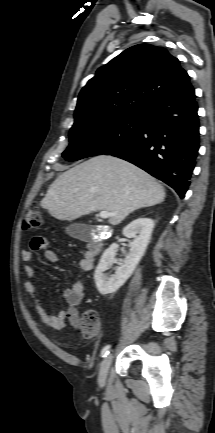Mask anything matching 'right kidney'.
<instances>
[{
    "mask_svg": "<svg viewBox=\"0 0 215 433\" xmlns=\"http://www.w3.org/2000/svg\"><path fill=\"white\" fill-rule=\"evenodd\" d=\"M154 226L155 223L152 219L141 217L123 229V235L127 238H133V241L124 263L116 269L115 274L109 279H106L104 272L114 261L118 245L113 243L104 251L94 274L97 289L102 295L116 292L132 275L146 251Z\"/></svg>",
    "mask_w": 215,
    "mask_h": 433,
    "instance_id": "ca27d5eb",
    "label": "right kidney"
}]
</instances>
